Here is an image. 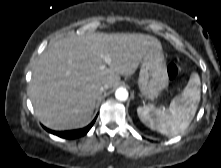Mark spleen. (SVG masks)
I'll use <instances>...</instances> for the list:
<instances>
[{
  "label": "spleen",
  "instance_id": "1",
  "mask_svg": "<svg viewBox=\"0 0 221 168\" xmlns=\"http://www.w3.org/2000/svg\"><path fill=\"white\" fill-rule=\"evenodd\" d=\"M200 85L199 75L192 73L183 92L172 99L167 109L138 107V117L150 129L168 137L182 133L191 123L198 108Z\"/></svg>",
  "mask_w": 221,
  "mask_h": 168
}]
</instances>
